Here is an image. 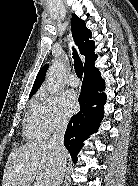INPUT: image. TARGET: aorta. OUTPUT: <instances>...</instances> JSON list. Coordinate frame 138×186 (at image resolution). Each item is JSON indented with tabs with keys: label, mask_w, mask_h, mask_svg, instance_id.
Segmentation results:
<instances>
[{
	"label": "aorta",
	"mask_w": 138,
	"mask_h": 186,
	"mask_svg": "<svg viewBox=\"0 0 138 186\" xmlns=\"http://www.w3.org/2000/svg\"><path fill=\"white\" fill-rule=\"evenodd\" d=\"M64 63L61 60H55L47 74V86L52 93L58 92L63 87Z\"/></svg>",
	"instance_id": "aorta-1"
}]
</instances>
